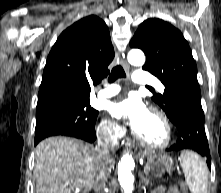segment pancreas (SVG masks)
Here are the masks:
<instances>
[{
	"instance_id": "1",
	"label": "pancreas",
	"mask_w": 221,
	"mask_h": 193,
	"mask_svg": "<svg viewBox=\"0 0 221 193\" xmlns=\"http://www.w3.org/2000/svg\"><path fill=\"white\" fill-rule=\"evenodd\" d=\"M168 170L170 171L171 168H169ZM164 172H165V169L158 170V171H156L155 176L161 177Z\"/></svg>"
}]
</instances>
